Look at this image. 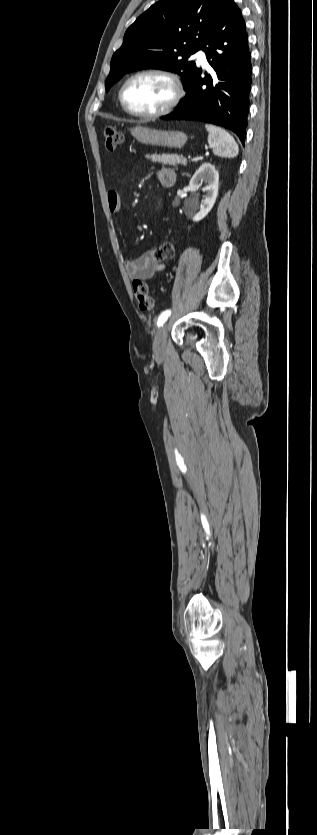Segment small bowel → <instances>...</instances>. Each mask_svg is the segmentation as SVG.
<instances>
[{
  "instance_id": "1",
  "label": "small bowel",
  "mask_w": 317,
  "mask_h": 835,
  "mask_svg": "<svg viewBox=\"0 0 317 835\" xmlns=\"http://www.w3.org/2000/svg\"><path fill=\"white\" fill-rule=\"evenodd\" d=\"M156 178L164 187L174 185L177 179L176 172L168 167L160 168L156 172ZM107 205L111 213L118 215L121 211V200L118 190L112 189L107 192ZM124 265L128 276L132 279L141 281H149L158 272L163 271L166 265L159 263L153 256L151 251L141 254L135 259H127Z\"/></svg>"
}]
</instances>
